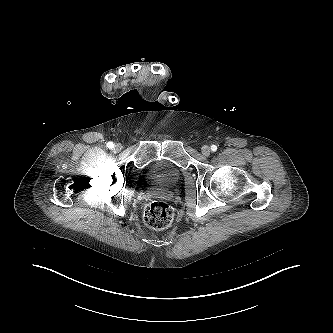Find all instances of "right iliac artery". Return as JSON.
<instances>
[{
    "label": "right iliac artery",
    "instance_id": "obj_1",
    "mask_svg": "<svg viewBox=\"0 0 333 333\" xmlns=\"http://www.w3.org/2000/svg\"><path fill=\"white\" fill-rule=\"evenodd\" d=\"M107 147L110 148V149H112L114 147L113 142H108L107 143Z\"/></svg>",
    "mask_w": 333,
    "mask_h": 333
}]
</instances>
